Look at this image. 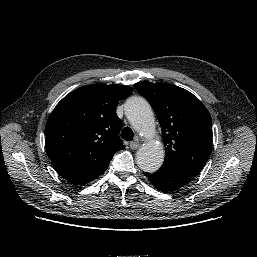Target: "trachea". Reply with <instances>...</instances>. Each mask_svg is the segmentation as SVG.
Masks as SVG:
<instances>
[{"label": "trachea", "instance_id": "obj_1", "mask_svg": "<svg viewBox=\"0 0 257 257\" xmlns=\"http://www.w3.org/2000/svg\"><path fill=\"white\" fill-rule=\"evenodd\" d=\"M133 131L129 127H125L121 132V137L126 141H132L133 140Z\"/></svg>", "mask_w": 257, "mask_h": 257}]
</instances>
